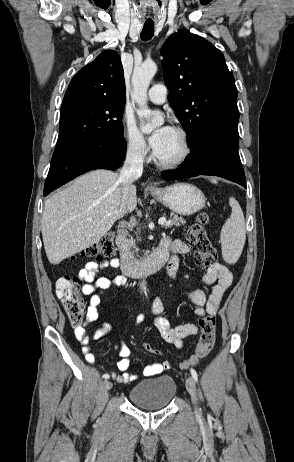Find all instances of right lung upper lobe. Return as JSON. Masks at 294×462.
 <instances>
[{"instance_id": "right-lung-upper-lobe-1", "label": "right lung upper lobe", "mask_w": 294, "mask_h": 462, "mask_svg": "<svg viewBox=\"0 0 294 462\" xmlns=\"http://www.w3.org/2000/svg\"><path fill=\"white\" fill-rule=\"evenodd\" d=\"M79 98L125 99L123 67L116 51H103L72 78L63 102Z\"/></svg>"}]
</instances>
